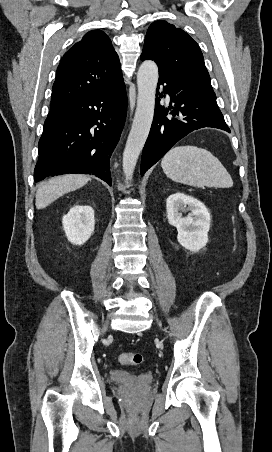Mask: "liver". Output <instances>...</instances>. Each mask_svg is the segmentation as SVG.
I'll list each match as a JSON object with an SVG mask.
<instances>
[{"instance_id":"6515ba94","label":"liver","mask_w":272,"mask_h":452,"mask_svg":"<svg viewBox=\"0 0 272 452\" xmlns=\"http://www.w3.org/2000/svg\"><path fill=\"white\" fill-rule=\"evenodd\" d=\"M90 178L82 174H66L54 177L38 187L35 205L43 209L59 197L83 187Z\"/></svg>"}]
</instances>
